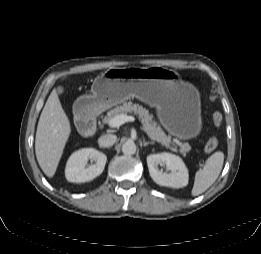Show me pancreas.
Listing matches in <instances>:
<instances>
[{
  "label": "pancreas",
  "instance_id": "obj_1",
  "mask_svg": "<svg viewBox=\"0 0 261 254\" xmlns=\"http://www.w3.org/2000/svg\"><path fill=\"white\" fill-rule=\"evenodd\" d=\"M133 113L137 115L143 124V130L146 134L153 140L162 143L166 147H170L171 137L167 136L161 129V127L154 120L153 114H151L147 109L143 108L138 104H133L132 102H124L123 105L117 106L110 110L104 117L103 122L108 123L110 119L120 114ZM177 151L176 148H173ZM180 153L184 156L190 151V146L188 143L180 144Z\"/></svg>",
  "mask_w": 261,
  "mask_h": 254
}]
</instances>
